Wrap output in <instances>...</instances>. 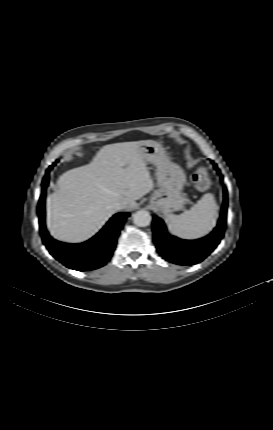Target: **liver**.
<instances>
[{
  "label": "liver",
  "mask_w": 273,
  "mask_h": 430,
  "mask_svg": "<svg viewBox=\"0 0 273 430\" xmlns=\"http://www.w3.org/2000/svg\"><path fill=\"white\" fill-rule=\"evenodd\" d=\"M143 141L102 147L92 162L65 172L47 198V227L55 239L79 243L97 233L114 215L113 205L126 200L131 210L153 187L139 154Z\"/></svg>",
  "instance_id": "6515ba94"
}]
</instances>
